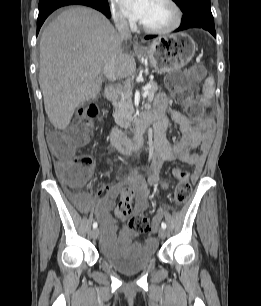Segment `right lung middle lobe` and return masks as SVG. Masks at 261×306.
Returning a JSON list of instances; mask_svg holds the SVG:
<instances>
[{"label":"right lung middle lobe","mask_w":261,"mask_h":306,"mask_svg":"<svg viewBox=\"0 0 261 306\" xmlns=\"http://www.w3.org/2000/svg\"><path fill=\"white\" fill-rule=\"evenodd\" d=\"M95 1L101 2V3H107L108 2V0H95Z\"/></svg>","instance_id":"1"}]
</instances>
